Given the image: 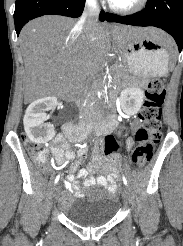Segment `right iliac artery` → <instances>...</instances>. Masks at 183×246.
I'll return each mask as SVG.
<instances>
[{
    "mask_svg": "<svg viewBox=\"0 0 183 246\" xmlns=\"http://www.w3.org/2000/svg\"><path fill=\"white\" fill-rule=\"evenodd\" d=\"M59 181V176L56 177L54 184H57Z\"/></svg>",
    "mask_w": 183,
    "mask_h": 246,
    "instance_id": "obj_1",
    "label": "right iliac artery"
}]
</instances>
